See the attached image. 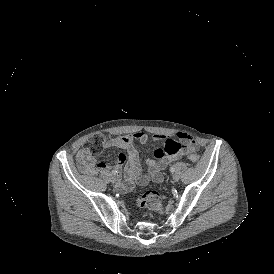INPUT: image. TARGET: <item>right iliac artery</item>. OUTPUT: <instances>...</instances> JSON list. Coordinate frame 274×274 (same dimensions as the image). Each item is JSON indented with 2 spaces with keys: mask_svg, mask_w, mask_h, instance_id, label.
<instances>
[{
  "mask_svg": "<svg viewBox=\"0 0 274 274\" xmlns=\"http://www.w3.org/2000/svg\"><path fill=\"white\" fill-rule=\"evenodd\" d=\"M118 172L116 170H112V174L116 175Z\"/></svg>",
  "mask_w": 274,
  "mask_h": 274,
  "instance_id": "1",
  "label": "right iliac artery"
}]
</instances>
